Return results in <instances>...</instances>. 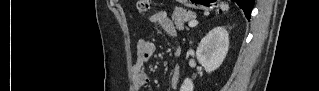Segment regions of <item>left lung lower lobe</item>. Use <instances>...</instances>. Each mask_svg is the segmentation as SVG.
Masks as SVG:
<instances>
[{
  "mask_svg": "<svg viewBox=\"0 0 319 91\" xmlns=\"http://www.w3.org/2000/svg\"><path fill=\"white\" fill-rule=\"evenodd\" d=\"M235 2L243 9L246 18L249 20L254 5V0H235Z\"/></svg>",
  "mask_w": 319,
  "mask_h": 91,
  "instance_id": "obj_1",
  "label": "left lung lower lobe"
}]
</instances>
